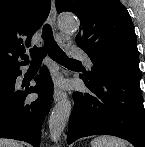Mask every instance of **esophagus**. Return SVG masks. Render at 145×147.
<instances>
[{
    "instance_id": "esophagus-1",
    "label": "esophagus",
    "mask_w": 145,
    "mask_h": 147,
    "mask_svg": "<svg viewBox=\"0 0 145 147\" xmlns=\"http://www.w3.org/2000/svg\"><path fill=\"white\" fill-rule=\"evenodd\" d=\"M56 16H57V11H56V7H55V2L52 1V3H51V10H50L49 18H48V21H49V23H50V25L52 27H55ZM66 96L67 95H66L65 92H63L61 90H58V91L55 92L53 100H54V102H58L61 99L66 98Z\"/></svg>"
}]
</instances>
